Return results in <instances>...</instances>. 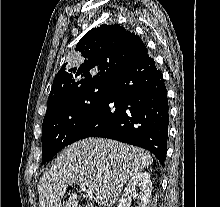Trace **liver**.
Returning a JSON list of instances; mask_svg holds the SVG:
<instances>
[{"label":"liver","mask_w":220,"mask_h":207,"mask_svg":"<svg viewBox=\"0 0 220 207\" xmlns=\"http://www.w3.org/2000/svg\"><path fill=\"white\" fill-rule=\"evenodd\" d=\"M153 159L149 152L115 140L87 138L68 146L46 170L38 184L40 207H78L72 193L61 203L68 186L93 188L99 205L112 207L123 186Z\"/></svg>","instance_id":"liver-1"}]
</instances>
